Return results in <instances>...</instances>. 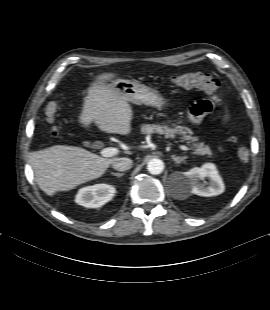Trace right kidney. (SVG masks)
Wrapping results in <instances>:
<instances>
[{
  "mask_svg": "<svg viewBox=\"0 0 270 310\" xmlns=\"http://www.w3.org/2000/svg\"><path fill=\"white\" fill-rule=\"evenodd\" d=\"M115 192V188L108 184L87 186L78 191L75 202L87 208H98L110 201Z\"/></svg>",
  "mask_w": 270,
  "mask_h": 310,
  "instance_id": "right-kidney-1",
  "label": "right kidney"
}]
</instances>
